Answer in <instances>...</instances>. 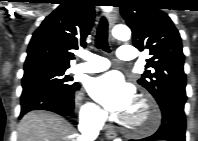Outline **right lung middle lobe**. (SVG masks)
<instances>
[{
    "instance_id": "right-lung-middle-lobe-1",
    "label": "right lung middle lobe",
    "mask_w": 198,
    "mask_h": 141,
    "mask_svg": "<svg viewBox=\"0 0 198 141\" xmlns=\"http://www.w3.org/2000/svg\"><path fill=\"white\" fill-rule=\"evenodd\" d=\"M68 68H39L24 73L22 78L23 88L30 86H49L62 92L74 91L78 83H71L73 80L65 71Z\"/></svg>"
}]
</instances>
